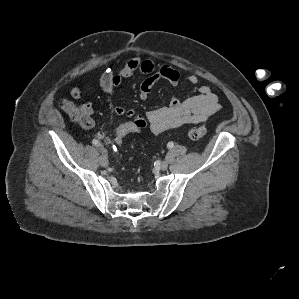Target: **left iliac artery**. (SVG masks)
<instances>
[{
  "instance_id": "1",
  "label": "left iliac artery",
  "mask_w": 299,
  "mask_h": 299,
  "mask_svg": "<svg viewBox=\"0 0 299 299\" xmlns=\"http://www.w3.org/2000/svg\"><path fill=\"white\" fill-rule=\"evenodd\" d=\"M173 146H174V143H173V142H169V143L167 144V147H168L169 149L173 148Z\"/></svg>"
}]
</instances>
